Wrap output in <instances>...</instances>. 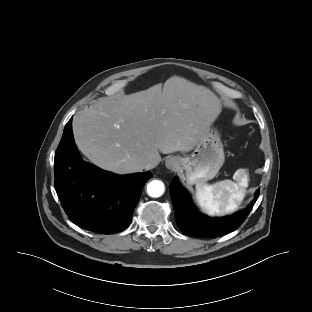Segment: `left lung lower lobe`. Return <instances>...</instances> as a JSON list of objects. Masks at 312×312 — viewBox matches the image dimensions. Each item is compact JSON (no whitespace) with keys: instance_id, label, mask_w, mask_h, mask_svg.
<instances>
[{"instance_id":"1","label":"left lung lower lobe","mask_w":312,"mask_h":312,"mask_svg":"<svg viewBox=\"0 0 312 312\" xmlns=\"http://www.w3.org/2000/svg\"><path fill=\"white\" fill-rule=\"evenodd\" d=\"M258 189L252 203L244 210L232 215L211 218L202 215L193 205L190 195L175 178L170 185L175 219L180 230L186 235L215 238L236 230L246 219L259 196Z\"/></svg>"}]
</instances>
